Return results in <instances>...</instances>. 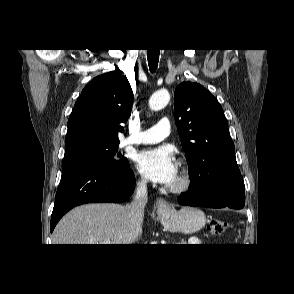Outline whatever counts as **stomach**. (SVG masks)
Instances as JSON below:
<instances>
[{
    "mask_svg": "<svg viewBox=\"0 0 294 294\" xmlns=\"http://www.w3.org/2000/svg\"><path fill=\"white\" fill-rule=\"evenodd\" d=\"M158 216L166 229L185 234L199 231L206 223L205 214L193 207H183L179 211L168 208L160 212Z\"/></svg>",
    "mask_w": 294,
    "mask_h": 294,
    "instance_id": "0dacf381",
    "label": "stomach"
}]
</instances>
